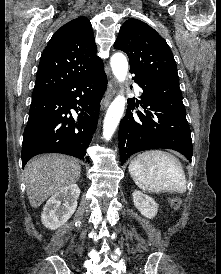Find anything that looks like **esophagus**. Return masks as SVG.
<instances>
[{
    "label": "esophagus",
    "mask_w": 221,
    "mask_h": 274,
    "mask_svg": "<svg viewBox=\"0 0 221 274\" xmlns=\"http://www.w3.org/2000/svg\"><path fill=\"white\" fill-rule=\"evenodd\" d=\"M118 89V84L114 79H111L108 83L107 90L105 92V95L103 97V100L101 102L102 107H107L109 103L111 102L114 94L116 93Z\"/></svg>",
    "instance_id": "1"
}]
</instances>
